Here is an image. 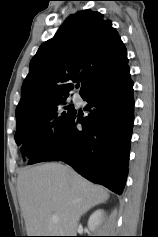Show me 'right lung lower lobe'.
Masks as SVG:
<instances>
[{
	"instance_id": "1",
	"label": "right lung lower lobe",
	"mask_w": 158,
	"mask_h": 237,
	"mask_svg": "<svg viewBox=\"0 0 158 237\" xmlns=\"http://www.w3.org/2000/svg\"><path fill=\"white\" fill-rule=\"evenodd\" d=\"M88 116L75 113L28 164L64 161L88 180L121 194L126 182L134 121L133 81L126 64L82 96ZM81 124L82 129L77 125Z\"/></svg>"
}]
</instances>
